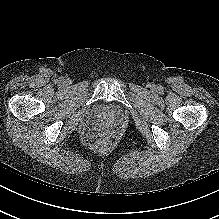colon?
Wrapping results in <instances>:
<instances>
[{
    "mask_svg": "<svg viewBox=\"0 0 219 219\" xmlns=\"http://www.w3.org/2000/svg\"><path fill=\"white\" fill-rule=\"evenodd\" d=\"M109 146V141L105 138H99L95 142V148L98 150L106 149Z\"/></svg>",
    "mask_w": 219,
    "mask_h": 219,
    "instance_id": "5ec220e1",
    "label": "colon"
}]
</instances>
